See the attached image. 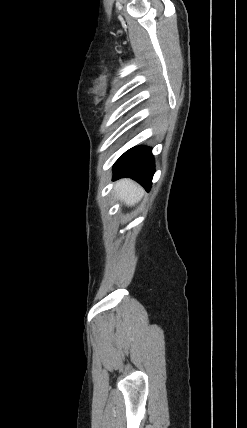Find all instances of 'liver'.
Here are the masks:
<instances>
[{"label":"liver","instance_id":"liver-1","mask_svg":"<svg viewBox=\"0 0 247 428\" xmlns=\"http://www.w3.org/2000/svg\"><path fill=\"white\" fill-rule=\"evenodd\" d=\"M115 196L127 206H134L144 195V190L130 179L119 180L115 187Z\"/></svg>","mask_w":247,"mask_h":428}]
</instances>
